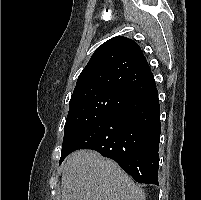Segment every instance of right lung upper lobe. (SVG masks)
<instances>
[{
	"label": "right lung upper lobe",
	"instance_id": "cb5924a9",
	"mask_svg": "<svg viewBox=\"0 0 201 200\" xmlns=\"http://www.w3.org/2000/svg\"><path fill=\"white\" fill-rule=\"evenodd\" d=\"M139 45L117 36L99 46L77 79L73 94L108 90L133 98L155 87Z\"/></svg>",
	"mask_w": 201,
	"mask_h": 200
}]
</instances>
